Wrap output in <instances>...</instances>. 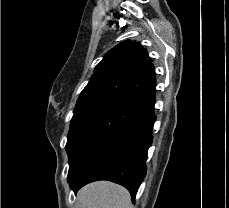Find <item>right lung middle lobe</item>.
Wrapping results in <instances>:
<instances>
[{"label": "right lung middle lobe", "instance_id": "dd1d6c3e", "mask_svg": "<svg viewBox=\"0 0 229 208\" xmlns=\"http://www.w3.org/2000/svg\"><path fill=\"white\" fill-rule=\"evenodd\" d=\"M146 109L121 97H103L76 105L66 144L69 172L88 151Z\"/></svg>", "mask_w": 229, "mask_h": 208}]
</instances>
